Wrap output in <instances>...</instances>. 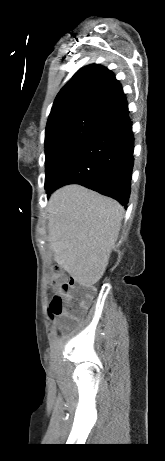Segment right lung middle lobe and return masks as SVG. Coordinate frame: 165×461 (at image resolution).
Instances as JSON below:
<instances>
[{
    "label": "right lung middle lobe",
    "instance_id": "dd1d6c3e",
    "mask_svg": "<svg viewBox=\"0 0 165 461\" xmlns=\"http://www.w3.org/2000/svg\"><path fill=\"white\" fill-rule=\"evenodd\" d=\"M105 120L93 115L60 118L47 124L45 131V186L68 158Z\"/></svg>",
    "mask_w": 165,
    "mask_h": 461
}]
</instances>
